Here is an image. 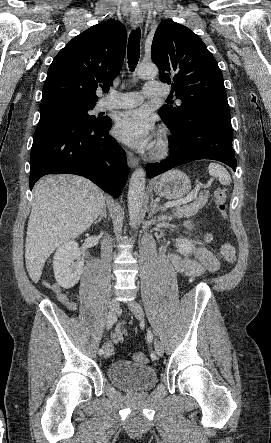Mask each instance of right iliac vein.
Segmentation results:
<instances>
[{"mask_svg":"<svg viewBox=\"0 0 271 443\" xmlns=\"http://www.w3.org/2000/svg\"><path fill=\"white\" fill-rule=\"evenodd\" d=\"M109 308H110V312L115 314L119 308V302L116 299H112L110 302ZM112 352H113V346L109 342L105 346L104 357L109 358L111 356Z\"/></svg>","mask_w":271,"mask_h":443,"instance_id":"63e3f726","label":"right iliac vein"}]
</instances>
